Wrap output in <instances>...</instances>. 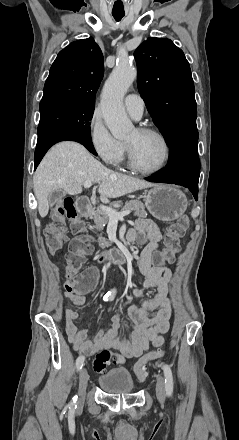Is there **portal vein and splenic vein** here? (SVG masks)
<instances>
[{
    "mask_svg": "<svg viewBox=\"0 0 239 440\" xmlns=\"http://www.w3.org/2000/svg\"><path fill=\"white\" fill-rule=\"evenodd\" d=\"M84 188H91L92 182H84ZM100 210H104L105 214L109 216L110 222H118V220H123V216H128L130 214V210L127 209V212H115L112 208H107V206H100Z\"/></svg>",
    "mask_w": 239,
    "mask_h": 440,
    "instance_id": "obj_1",
    "label": "portal vein and splenic vein"
}]
</instances>
